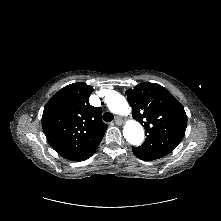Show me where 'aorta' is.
Wrapping results in <instances>:
<instances>
[{
	"instance_id": "1",
	"label": "aorta",
	"mask_w": 221,
	"mask_h": 221,
	"mask_svg": "<svg viewBox=\"0 0 221 221\" xmlns=\"http://www.w3.org/2000/svg\"><path fill=\"white\" fill-rule=\"evenodd\" d=\"M105 103L111 112L118 115H128L131 110L125 97L119 92L109 90L105 95ZM123 135L127 142L132 145H140L144 140V129L136 120L127 121Z\"/></svg>"
}]
</instances>
